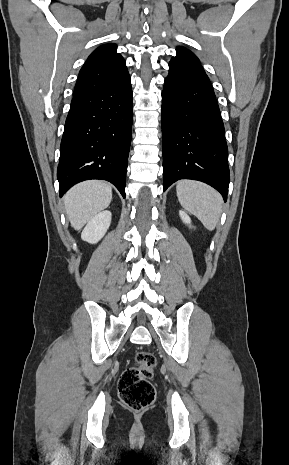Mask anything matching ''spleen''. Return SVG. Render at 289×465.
Here are the masks:
<instances>
[{
  "instance_id": "obj_1",
  "label": "spleen",
  "mask_w": 289,
  "mask_h": 465,
  "mask_svg": "<svg viewBox=\"0 0 289 465\" xmlns=\"http://www.w3.org/2000/svg\"><path fill=\"white\" fill-rule=\"evenodd\" d=\"M176 193L185 210L195 215L206 229H215L222 212V197L215 189L199 181L181 180Z\"/></svg>"
}]
</instances>
